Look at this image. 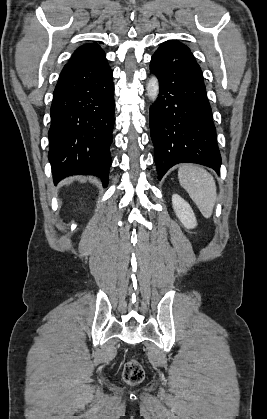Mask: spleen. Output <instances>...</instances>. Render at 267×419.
<instances>
[{
	"label": "spleen",
	"instance_id": "1",
	"mask_svg": "<svg viewBox=\"0 0 267 419\" xmlns=\"http://www.w3.org/2000/svg\"><path fill=\"white\" fill-rule=\"evenodd\" d=\"M180 185L188 192L205 218H210L217 192L213 176L206 170L192 165H181L178 170Z\"/></svg>",
	"mask_w": 267,
	"mask_h": 419
}]
</instances>
